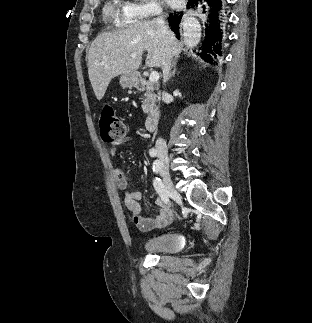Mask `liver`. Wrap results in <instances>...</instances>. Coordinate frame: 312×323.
Returning <instances> with one entry per match:
<instances>
[{
	"label": "liver",
	"instance_id": "6515ba94",
	"mask_svg": "<svg viewBox=\"0 0 312 323\" xmlns=\"http://www.w3.org/2000/svg\"><path fill=\"white\" fill-rule=\"evenodd\" d=\"M182 42H169L158 24L143 20L122 30L100 34L88 52V74L97 100H102L112 78L132 74L141 66L143 52H148L146 66L162 68L168 56L179 58ZM136 54V58H131Z\"/></svg>",
	"mask_w": 312,
	"mask_h": 323
}]
</instances>
